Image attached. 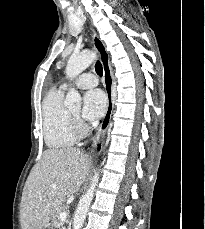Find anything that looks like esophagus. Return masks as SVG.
<instances>
[{"label": "esophagus", "mask_w": 205, "mask_h": 229, "mask_svg": "<svg viewBox=\"0 0 205 229\" xmlns=\"http://www.w3.org/2000/svg\"><path fill=\"white\" fill-rule=\"evenodd\" d=\"M93 43L97 50L104 72L105 89L107 93V108L104 118L97 130L96 136L94 137L92 146H95L97 141L100 140L106 133L111 120V114L113 111V75L109 62V54L106 50L104 43L100 40L98 35L93 31Z\"/></svg>", "instance_id": "34e87169"}]
</instances>
